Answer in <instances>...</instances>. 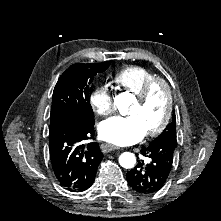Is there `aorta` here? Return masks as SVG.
I'll list each match as a JSON object with an SVG mask.
<instances>
[{"mask_svg": "<svg viewBox=\"0 0 221 221\" xmlns=\"http://www.w3.org/2000/svg\"><path fill=\"white\" fill-rule=\"evenodd\" d=\"M133 102V96L130 93H120L115 97V105L119 111H125ZM119 164L126 169L133 168L136 164V157L133 153L124 152L119 156Z\"/></svg>", "mask_w": 221, "mask_h": 221, "instance_id": "762f6f07", "label": "aorta"}]
</instances>
